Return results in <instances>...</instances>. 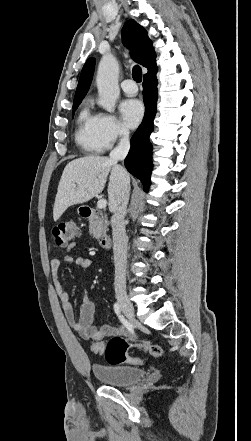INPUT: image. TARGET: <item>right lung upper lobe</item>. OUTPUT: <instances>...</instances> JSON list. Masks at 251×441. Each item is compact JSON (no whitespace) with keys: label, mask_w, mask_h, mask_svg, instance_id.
<instances>
[{"label":"right lung upper lobe","mask_w":251,"mask_h":441,"mask_svg":"<svg viewBox=\"0 0 251 441\" xmlns=\"http://www.w3.org/2000/svg\"><path fill=\"white\" fill-rule=\"evenodd\" d=\"M122 40L130 48L133 59L143 67H146L148 73L157 70L156 54L152 48V41L149 39L147 31L135 20L130 19L124 24ZM94 66V58L88 59L84 64L74 96V102L80 101L85 97L92 81Z\"/></svg>","instance_id":"right-lung-upper-lobe-1"}]
</instances>
